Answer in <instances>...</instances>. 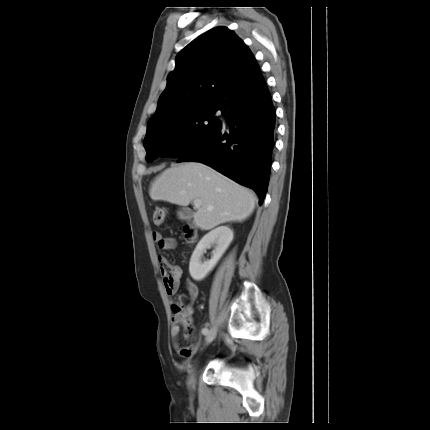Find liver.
<instances>
[{
	"label": "liver",
	"instance_id": "6515ba94",
	"mask_svg": "<svg viewBox=\"0 0 430 430\" xmlns=\"http://www.w3.org/2000/svg\"><path fill=\"white\" fill-rule=\"evenodd\" d=\"M149 195L154 201L181 206L200 199L202 205L193 217L195 225L202 230L245 220L253 212L257 200L250 190L199 162L166 169L152 182Z\"/></svg>",
	"mask_w": 430,
	"mask_h": 430
}]
</instances>
